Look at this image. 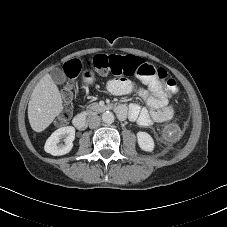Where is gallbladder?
I'll return each mask as SVG.
<instances>
[{"mask_svg":"<svg viewBox=\"0 0 227 227\" xmlns=\"http://www.w3.org/2000/svg\"><path fill=\"white\" fill-rule=\"evenodd\" d=\"M51 77L57 84H63L66 81L65 72L61 68H55L52 70Z\"/></svg>","mask_w":227,"mask_h":227,"instance_id":"bac80fb5","label":"gallbladder"}]
</instances>
